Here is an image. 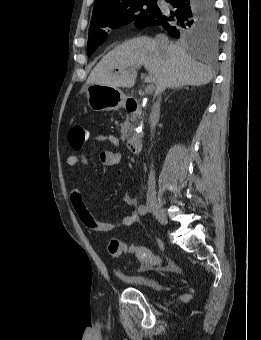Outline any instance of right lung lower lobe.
<instances>
[{
  "label": "right lung lower lobe",
  "instance_id": "1",
  "mask_svg": "<svg viewBox=\"0 0 261 340\" xmlns=\"http://www.w3.org/2000/svg\"><path fill=\"white\" fill-rule=\"evenodd\" d=\"M170 10L161 9L149 26H162L173 38L176 37V25L191 14H216L214 0H166Z\"/></svg>",
  "mask_w": 261,
  "mask_h": 340
}]
</instances>
